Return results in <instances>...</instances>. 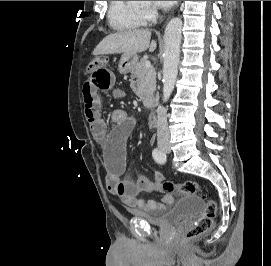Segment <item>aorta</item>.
Here are the masks:
<instances>
[{"instance_id":"obj_1","label":"aorta","mask_w":271,"mask_h":266,"mask_svg":"<svg viewBox=\"0 0 271 266\" xmlns=\"http://www.w3.org/2000/svg\"><path fill=\"white\" fill-rule=\"evenodd\" d=\"M183 22L176 17L171 19L165 29L164 63H163V101L171 96L177 74L180 58V45Z\"/></svg>"}]
</instances>
